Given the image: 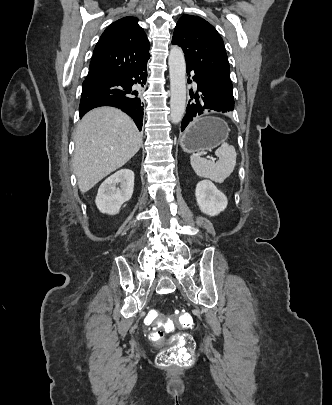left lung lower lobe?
I'll return each instance as SVG.
<instances>
[{"label":"left lung lower lobe","mask_w":332,"mask_h":405,"mask_svg":"<svg viewBox=\"0 0 332 405\" xmlns=\"http://www.w3.org/2000/svg\"><path fill=\"white\" fill-rule=\"evenodd\" d=\"M192 70V68L187 66L188 75ZM193 71V81L197 83V91L193 92V90H190L189 92L192 100H189V103L187 105L186 115L184 116L181 124L182 131L186 128L189 122L193 120L194 117L205 113L207 110L221 111L223 113L232 111L222 108L220 104L216 102L211 89L206 84L202 75L195 70Z\"/></svg>","instance_id":"obj_1"}]
</instances>
